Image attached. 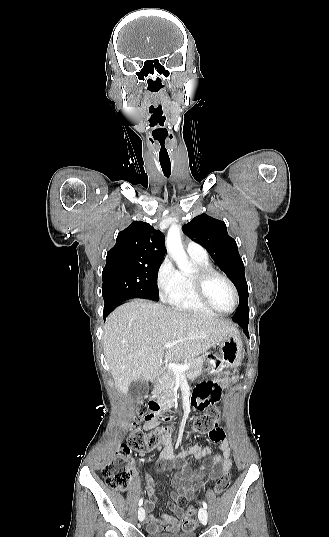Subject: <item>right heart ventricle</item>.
I'll list each match as a JSON object with an SVG mask.
<instances>
[{"label":"right heart ventricle","mask_w":329,"mask_h":537,"mask_svg":"<svg viewBox=\"0 0 329 537\" xmlns=\"http://www.w3.org/2000/svg\"><path fill=\"white\" fill-rule=\"evenodd\" d=\"M198 266H209L208 259H200L191 257ZM181 275V288L180 291L171 299L169 303L177 310L184 312H191L201 315H212L213 311L205 307L196 297L189 275Z\"/></svg>","instance_id":"1"}]
</instances>
